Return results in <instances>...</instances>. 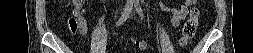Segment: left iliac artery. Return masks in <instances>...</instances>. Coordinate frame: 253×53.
I'll list each match as a JSON object with an SVG mask.
<instances>
[{
    "label": "left iliac artery",
    "mask_w": 253,
    "mask_h": 53,
    "mask_svg": "<svg viewBox=\"0 0 253 53\" xmlns=\"http://www.w3.org/2000/svg\"><path fill=\"white\" fill-rule=\"evenodd\" d=\"M134 5H135L136 11L141 16V18H144V13H143V10H142V8H141V6L139 4V1L138 0H134Z\"/></svg>",
    "instance_id": "obj_1"
}]
</instances>
